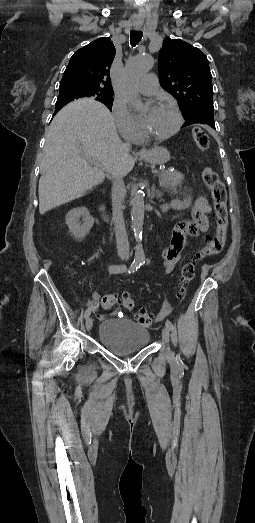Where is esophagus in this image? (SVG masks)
<instances>
[{
	"mask_svg": "<svg viewBox=\"0 0 255 523\" xmlns=\"http://www.w3.org/2000/svg\"><path fill=\"white\" fill-rule=\"evenodd\" d=\"M138 153H139L140 155H145V154H147L148 152H147V149H146V148H141V150H139Z\"/></svg>",
	"mask_w": 255,
	"mask_h": 523,
	"instance_id": "obj_1",
	"label": "esophagus"
}]
</instances>
